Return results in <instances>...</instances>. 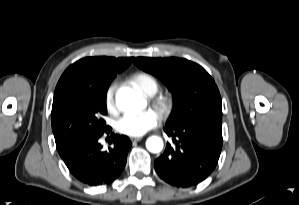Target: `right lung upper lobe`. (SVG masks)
I'll list each match as a JSON object with an SVG mask.
<instances>
[{
    "label": "right lung upper lobe",
    "mask_w": 299,
    "mask_h": 205,
    "mask_svg": "<svg viewBox=\"0 0 299 205\" xmlns=\"http://www.w3.org/2000/svg\"><path fill=\"white\" fill-rule=\"evenodd\" d=\"M134 58L86 57L70 65L61 76L54 93L52 109L72 87L115 78Z\"/></svg>",
    "instance_id": "obj_1"
}]
</instances>
